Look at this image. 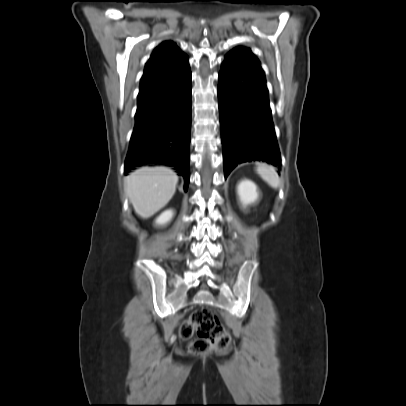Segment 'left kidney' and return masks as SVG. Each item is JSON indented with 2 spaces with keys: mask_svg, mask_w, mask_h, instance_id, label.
<instances>
[{
  "mask_svg": "<svg viewBox=\"0 0 406 406\" xmlns=\"http://www.w3.org/2000/svg\"><path fill=\"white\" fill-rule=\"evenodd\" d=\"M237 194L243 207L255 203L259 198L257 185L248 179H244L238 184Z\"/></svg>",
  "mask_w": 406,
  "mask_h": 406,
  "instance_id": "5707ae66",
  "label": "left kidney"
}]
</instances>
